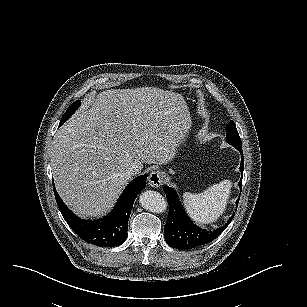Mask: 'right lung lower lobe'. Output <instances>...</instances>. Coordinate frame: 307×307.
Here are the masks:
<instances>
[{"label":"right lung lower lobe","mask_w":307,"mask_h":307,"mask_svg":"<svg viewBox=\"0 0 307 307\" xmlns=\"http://www.w3.org/2000/svg\"><path fill=\"white\" fill-rule=\"evenodd\" d=\"M146 178L145 174L134 179L123 191L113 211L95 221L79 219L63 203L55 187L54 193L62 216L79 237L96 246L115 247L124 243L127 238L131 209L136 196L145 188Z\"/></svg>","instance_id":"obj_1"}]
</instances>
